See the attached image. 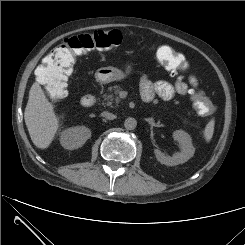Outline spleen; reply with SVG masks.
<instances>
[{
    "instance_id": "3e777b00",
    "label": "spleen",
    "mask_w": 245,
    "mask_h": 245,
    "mask_svg": "<svg viewBox=\"0 0 245 245\" xmlns=\"http://www.w3.org/2000/svg\"><path fill=\"white\" fill-rule=\"evenodd\" d=\"M214 126H215V121H214V119H212L207 123V125L203 131V135H204L205 141L207 143H209L213 137Z\"/></svg>"
}]
</instances>
